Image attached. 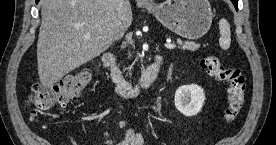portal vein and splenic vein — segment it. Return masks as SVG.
Masks as SVG:
<instances>
[{
	"mask_svg": "<svg viewBox=\"0 0 276 145\" xmlns=\"http://www.w3.org/2000/svg\"><path fill=\"white\" fill-rule=\"evenodd\" d=\"M84 38H85V39H89V38H90V34H89V33H86V34L84 35ZM165 47L168 48V49H175V48H176V45L173 44V43L167 42V43H165Z\"/></svg>",
	"mask_w": 276,
	"mask_h": 145,
	"instance_id": "18ae733b",
	"label": "portal vein and splenic vein"
}]
</instances>
